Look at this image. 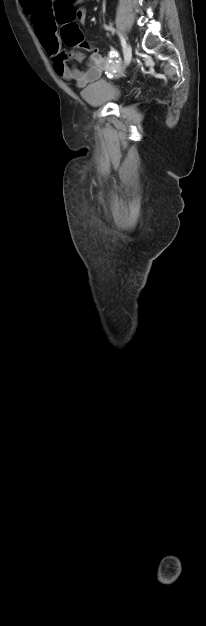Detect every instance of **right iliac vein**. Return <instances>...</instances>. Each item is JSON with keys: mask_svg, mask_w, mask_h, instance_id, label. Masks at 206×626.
I'll use <instances>...</instances> for the list:
<instances>
[{"mask_svg": "<svg viewBox=\"0 0 206 626\" xmlns=\"http://www.w3.org/2000/svg\"><path fill=\"white\" fill-rule=\"evenodd\" d=\"M124 59H125V65H128L131 62L132 50L129 44H127L124 49Z\"/></svg>", "mask_w": 206, "mask_h": 626, "instance_id": "63e3f726", "label": "right iliac vein"}]
</instances>
